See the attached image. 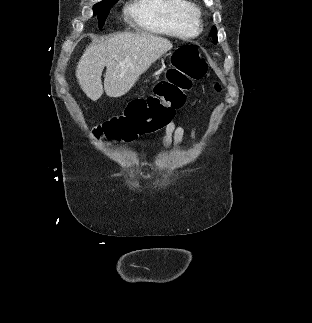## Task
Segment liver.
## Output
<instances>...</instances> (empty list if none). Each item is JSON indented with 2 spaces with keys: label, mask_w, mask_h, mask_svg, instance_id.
<instances>
[{
  "label": "liver",
  "mask_w": 312,
  "mask_h": 323,
  "mask_svg": "<svg viewBox=\"0 0 312 323\" xmlns=\"http://www.w3.org/2000/svg\"><path fill=\"white\" fill-rule=\"evenodd\" d=\"M173 44L156 34H116L86 48L78 62L76 78L87 98L96 102L104 90L109 98H120ZM106 66L104 88L102 72Z\"/></svg>",
  "instance_id": "obj_1"
}]
</instances>
